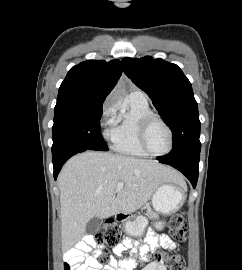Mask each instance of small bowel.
<instances>
[{
    "instance_id": "1",
    "label": "small bowel",
    "mask_w": 242,
    "mask_h": 270,
    "mask_svg": "<svg viewBox=\"0 0 242 270\" xmlns=\"http://www.w3.org/2000/svg\"><path fill=\"white\" fill-rule=\"evenodd\" d=\"M160 248L175 249L176 244L167 235H157L153 230L148 229L145 235V244H139L135 240L124 239L114 249L117 258H110L109 265L104 266L98 261L102 255L101 249L96 247L91 236H85L84 240L68 251L65 255V262L72 266V270H131L135 264L134 258H126L123 253L130 250L132 256H139L143 261L149 260V253H155ZM94 249L93 255L87 254ZM144 270H166L165 265L158 262H149Z\"/></svg>"
}]
</instances>
